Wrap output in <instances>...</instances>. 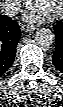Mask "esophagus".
I'll list each match as a JSON object with an SVG mask.
<instances>
[{
    "label": "esophagus",
    "mask_w": 63,
    "mask_h": 107,
    "mask_svg": "<svg viewBox=\"0 0 63 107\" xmlns=\"http://www.w3.org/2000/svg\"><path fill=\"white\" fill-rule=\"evenodd\" d=\"M21 29L24 32H32V31L36 30V27L34 25H23L21 27Z\"/></svg>",
    "instance_id": "esophagus-1"
}]
</instances>
